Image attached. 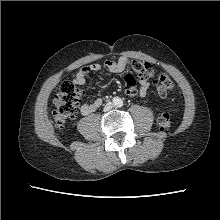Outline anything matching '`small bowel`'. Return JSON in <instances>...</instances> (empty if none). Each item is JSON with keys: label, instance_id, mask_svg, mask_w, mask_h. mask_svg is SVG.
I'll use <instances>...</instances> for the list:
<instances>
[{"label": "small bowel", "instance_id": "c3829d8e", "mask_svg": "<svg viewBox=\"0 0 220 220\" xmlns=\"http://www.w3.org/2000/svg\"><path fill=\"white\" fill-rule=\"evenodd\" d=\"M128 65H129V60L126 57H120L117 60H108L105 62V67L110 72L116 74L123 72ZM100 69H101V65L98 63L84 66L78 71V73L73 79V82L78 86H83L86 83L87 77L92 72L99 71ZM148 90H149V82L143 78L139 80V89H137V87L125 86V93L128 96H135L139 94L141 97H144L147 95ZM101 104H102L101 98H97L91 102L84 103L81 106V113L83 115H89L95 112L101 106Z\"/></svg>", "mask_w": 220, "mask_h": 220}]
</instances>
